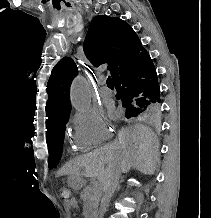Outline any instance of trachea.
<instances>
[{"label":"trachea","instance_id":"obj_1","mask_svg":"<svg viewBox=\"0 0 211 218\" xmlns=\"http://www.w3.org/2000/svg\"><path fill=\"white\" fill-rule=\"evenodd\" d=\"M106 83H107V84H113V81H112L111 77H108V78H107Z\"/></svg>","mask_w":211,"mask_h":218}]
</instances>
